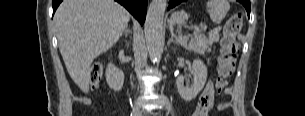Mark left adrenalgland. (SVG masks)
Masks as SVG:
<instances>
[{
  "instance_id": "a2214340",
  "label": "left adrenal gland",
  "mask_w": 305,
  "mask_h": 116,
  "mask_svg": "<svg viewBox=\"0 0 305 116\" xmlns=\"http://www.w3.org/2000/svg\"><path fill=\"white\" fill-rule=\"evenodd\" d=\"M174 37H175V35H174V33L172 32L171 33V39L169 40V44L171 43V42H173V43H176V44H179V42H176L175 40H174Z\"/></svg>"
}]
</instances>
